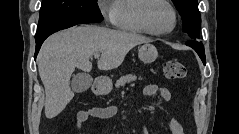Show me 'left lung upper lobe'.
Wrapping results in <instances>:
<instances>
[{
    "label": "left lung upper lobe",
    "mask_w": 239,
    "mask_h": 134,
    "mask_svg": "<svg viewBox=\"0 0 239 134\" xmlns=\"http://www.w3.org/2000/svg\"><path fill=\"white\" fill-rule=\"evenodd\" d=\"M182 17L183 29L191 38L200 37L201 16L198 0H172Z\"/></svg>",
    "instance_id": "1"
}]
</instances>
